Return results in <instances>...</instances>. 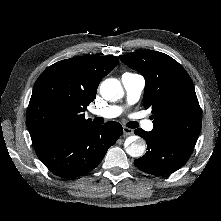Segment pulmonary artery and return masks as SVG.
I'll use <instances>...</instances> for the list:
<instances>
[{
	"instance_id": "obj_1",
	"label": "pulmonary artery",
	"mask_w": 221,
	"mask_h": 221,
	"mask_svg": "<svg viewBox=\"0 0 221 221\" xmlns=\"http://www.w3.org/2000/svg\"><path fill=\"white\" fill-rule=\"evenodd\" d=\"M121 82L126 93V102L128 105L136 103L145 87V79L140 74L124 73L121 77ZM123 112L122 106L112 105L100 109H94L91 114L104 119H112L118 117ZM144 129L150 131L154 125L151 121L143 120L141 122Z\"/></svg>"
}]
</instances>
